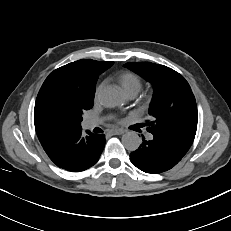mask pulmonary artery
<instances>
[{
	"label": "pulmonary artery",
	"mask_w": 231,
	"mask_h": 231,
	"mask_svg": "<svg viewBox=\"0 0 231 231\" xmlns=\"http://www.w3.org/2000/svg\"><path fill=\"white\" fill-rule=\"evenodd\" d=\"M130 98H133L134 96H129ZM102 122V120L100 118H87L85 121H84V127L85 128H93V127H96L98 126L100 123ZM152 135L149 134L147 136V138L149 140L152 139Z\"/></svg>",
	"instance_id": "obj_1"
}]
</instances>
